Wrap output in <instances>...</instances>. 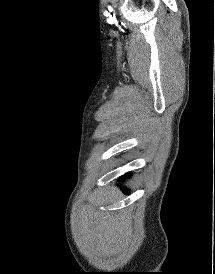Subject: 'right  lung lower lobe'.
Segmentation results:
<instances>
[{
  "label": "right lung lower lobe",
  "mask_w": 215,
  "mask_h": 274,
  "mask_svg": "<svg viewBox=\"0 0 215 274\" xmlns=\"http://www.w3.org/2000/svg\"><path fill=\"white\" fill-rule=\"evenodd\" d=\"M126 176H127V175H126ZM124 193H125V194H129V192H128L127 190H124Z\"/></svg>",
  "instance_id": "obj_1"
}]
</instances>
